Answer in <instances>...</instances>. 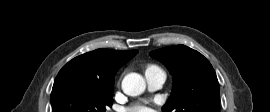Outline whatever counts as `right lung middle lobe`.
I'll use <instances>...</instances> for the list:
<instances>
[{
    "mask_svg": "<svg viewBox=\"0 0 270 112\" xmlns=\"http://www.w3.org/2000/svg\"><path fill=\"white\" fill-rule=\"evenodd\" d=\"M113 103V85H103L75 78L54 82L52 112H105Z\"/></svg>",
    "mask_w": 270,
    "mask_h": 112,
    "instance_id": "dd1d6c3e",
    "label": "right lung middle lobe"
}]
</instances>
